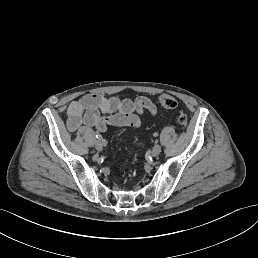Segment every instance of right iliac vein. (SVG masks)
Listing matches in <instances>:
<instances>
[{"label":"right iliac vein","instance_id":"right-iliac-vein-1","mask_svg":"<svg viewBox=\"0 0 258 258\" xmlns=\"http://www.w3.org/2000/svg\"><path fill=\"white\" fill-rule=\"evenodd\" d=\"M94 146H95V148H96L98 151H100V152L104 150V148H103L104 145H103L102 142L99 141V140L95 142Z\"/></svg>","mask_w":258,"mask_h":258}]
</instances>
